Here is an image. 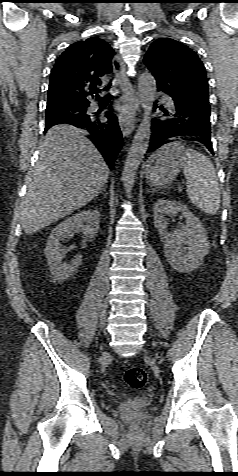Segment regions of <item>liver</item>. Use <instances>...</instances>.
<instances>
[{
	"instance_id": "obj_1",
	"label": "liver",
	"mask_w": 238,
	"mask_h": 476,
	"mask_svg": "<svg viewBox=\"0 0 238 476\" xmlns=\"http://www.w3.org/2000/svg\"><path fill=\"white\" fill-rule=\"evenodd\" d=\"M109 168L83 132L62 125L50 129L40 157L26 177L21 223L32 234L88 204L106 185Z\"/></svg>"
}]
</instances>
